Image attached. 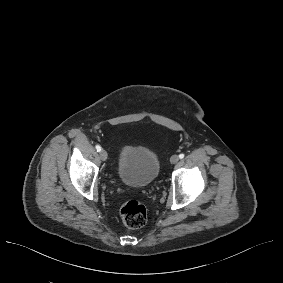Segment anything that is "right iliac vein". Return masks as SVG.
<instances>
[{
    "instance_id": "63e3f726",
    "label": "right iliac vein",
    "mask_w": 283,
    "mask_h": 283,
    "mask_svg": "<svg viewBox=\"0 0 283 283\" xmlns=\"http://www.w3.org/2000/svg\"><path fill=\"white\" fill-rule=\"evenodd\" d=\"M100 157H101V160H102V161H106L107 158H108L107 152L102 149V150L100 151Z\"/></svg>"
}]
</instances>
